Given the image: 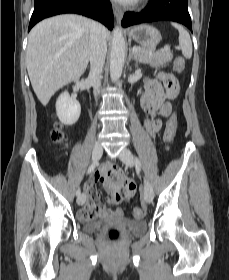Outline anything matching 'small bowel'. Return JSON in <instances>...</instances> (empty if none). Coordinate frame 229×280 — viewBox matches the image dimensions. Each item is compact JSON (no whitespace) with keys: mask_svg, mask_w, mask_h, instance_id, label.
Listing matches in <instances>:
<instances>
[{"mask_svg":"<svg viewBox=\"0 0 229 280\" xmlns=\"http://www.w3.org/2000/svg\"><path fill=\"white\" fill-rule=\"evenodd\" d=\"M184 65H178L177 61L174 64V69L181 72ZM173 99L167 89L162 83L154 78H147L143 84V91L140 97L141 107L144 112L149 116L143 122L145 129L149 134H155L162 128V121L159 116L167 117L171 113V104L168 101ZM114 172L109 167L101 168L94 175L95 180H103L109 187L110 196L108 203L116 205L114 210H110L105 205L98 202L99 195L95 190L93 183L88 182L84 185L85 201L83 207L77 211V217L82 220L92 219V214L99 213L102 219L122 218L124 215V208L121 206L123 195L126 199L135 194L136 184L134 181L127 179L118 183L109 180V176Z\"/></svg>","mask_w":229,"mask_h":280,"instance_id":"small-bowel-1","label":"small bowel"}]
</instances>
